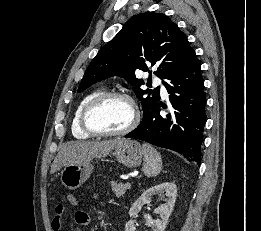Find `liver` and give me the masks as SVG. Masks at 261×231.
I'll return each instance as SVG.
<instances>
[{"label": "liver", "instance_id": "obj_1", "mask_svg": "<svg viewBox=\"0 0 261 231\" xmlns=\"http://www.w3.org/2000/svg\"><path fill=\"white\" fill-rule=\"evenodd\" d=\"M122 139L104 141L71 142L64 145L51 165L50 173L54 174L69 164L89 162L93 158H101L109 154Z\"/></svg>", "mask_w": 261, "mask_h": 231}]
</instances>
